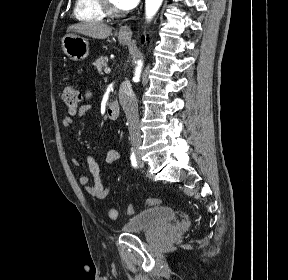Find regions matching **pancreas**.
Returning a JSON list of instances; mask_svg holds the SVG:
<instances>
[{
	"label": "pancreas",
	"mask_w": 288,
	"mask_h": 280,
	"mask_svg": "<svg viewBox=\"0 0 288 280\" xmlns=\"http://www.w3.org/2000/svg\"><path fill=\"white\" fill-rule=\"evenodd\" d=\"M107 62L108 58L106 56H101L94 62L93 65L96 67L98 72H102V70L107 67Z\"/></svg>",
	"instance_id": "pancreas-1"
}]
</instances>
